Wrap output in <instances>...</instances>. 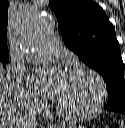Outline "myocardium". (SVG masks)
Returning a JSON list of instances; mask_svg holds the SVG:
<instances>
[{"instance_id":"obj_1","label":"myocardium","mask_w":125,"mask_h":128,"mask_svg":"<svg viewBox=\"0 0 125 128\" xmlns=\"http://www.w3.org/2000/svg\"><path fill=\"white\" fill-rule=\"evenodd\" d=\"M68 74L69 75L86 74L89 77H91L98 86V98L94 105L79 112L66 111L63 108H61L57 103H55L56 113L60 117L70 121L87 119L97 114L104 107L108 95L106 83L102 78V76L98 72L86 66H75L69 70Z\"/></svg>"}]
</instances>
